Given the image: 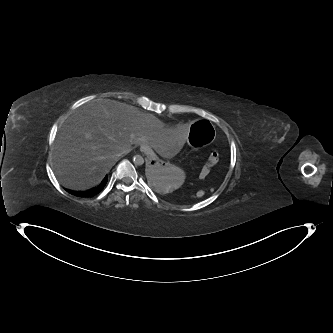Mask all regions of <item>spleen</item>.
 <instances>
[{
	"instance_id": "obj_1",
	"label": "spleen",
	"mask_w": 333,
	"mask_h": 333,
	"mask_svg": "<svg viewBox=\"0 0 333 333\" xmlns=\"http://www.w3.org/2000/svg\"><path fill=\"white\" fill-rule=\"evenodd\" d=\"M176 184V183H175ZM203 194L202 193H200V196H202Z\"/></svg>"
}]
</instances>
